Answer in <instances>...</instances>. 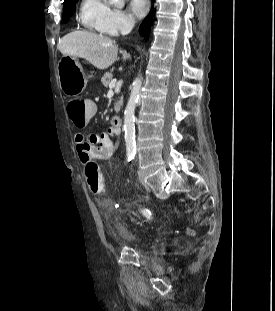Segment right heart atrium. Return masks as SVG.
Segmentation results:
<instances>
[{"instance_id": "1", "label": "right heart atrium", "mask_w": 275, "mask_h": 311, "mask_svg": "<svg viewBox=\"0 0 275 311\" xmlns=\"http://www.w3.org/2000/svg\"><path fill=\"white\" fill-rule=\"evenodd\" d=\"M132 25V19L123 10L110 8L105 17L103 28L107 34L117 35L128 31Z\"/></svg>"}]
</instances>
